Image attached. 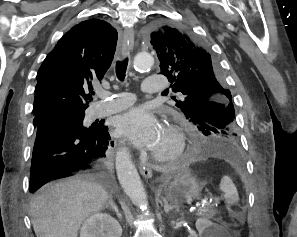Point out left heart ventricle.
I'll return each mask as SVG.
<instances>
[{
    "instance_id": "1",
    "label": "left heart ventricle",
    "mask_w": 297,
    "mask_h": 237,
    "mask_svg": "<svg viewBox=\"0 0 297 237\" xmlns=\"http://www.w3.org/2000/svg\"><path fill=\"white\" fill-rule=\"evenodd\" d=\"M173 140L170 135L167 133L166 129L164 128L161 138L157 144V146L152 150L156 153H163L167 152L173 148Z\"/></svg>"
}]
</instances>
